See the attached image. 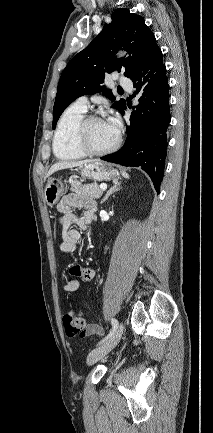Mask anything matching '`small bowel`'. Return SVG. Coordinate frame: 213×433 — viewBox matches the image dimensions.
<instances>
[{
	"label": "small bowel",
	"instance_id": "obj_1",
	"mask_svg": "<svg viewBox=\"0 0 213 433\" xmlns=\"http://www.w3.org/2000/svg\"><path fill=\"white\" fill-rule=\"evenodd\" d=\"M60 217L58 224L61 230L62 241L59 246L60 251L63 253H74L80 249V241L82 239V233L80 230H86L91 224L96 205L95 202L87 197L70 193L66 195L57 206ZM75 209H83L81 215L75 213ZM77 225L78 229L73 228V225ZM69 272L74 279L68 280L63 289L66 292H75L80 288L81 282L92 281L94 278V271L89 268H84L79 265H72L69 268ZM88 335H102V330L95 324H89L86 326Z\"/></svg>",
	"mask_w": 213,
	"mask_h": 433
}]
</instances>
